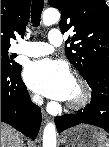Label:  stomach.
<instances>
[{
	"label": "stomach",
	"instance_id": "stomach-1",
	"mask_svg": "<svg viewBox=\"0 0 109 147\" xmlns=\"http://www.w3.org/2000/svg\"><path fill=\"white\" fill-rule=\"evenodd\" d=\"M103 132L94 126L81 124L66 130L63 133V142L65 147H103Z\"/></svg>",
	"mask_w": 109,
	"mask_h": 147
}]
</instances>
